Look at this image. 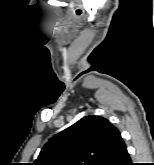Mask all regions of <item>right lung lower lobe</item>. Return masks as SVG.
Here are the masks:
<instances>
[{"mask_svg":"<svg viewBox=\"0 0 154 165\" xmlns=\"http://www.w3.org/2000/svg\"><path fill=\"white\" fill-rule=\"evenodd\" d=\"M104 165H132L126 145L120 138L114 146V153Z\"/></svg>","mask_w":154,"mask_h":165,"instance_id":"right-lung-lower-lobe-1","label":"right lung lower lobe"}]
</instances>
